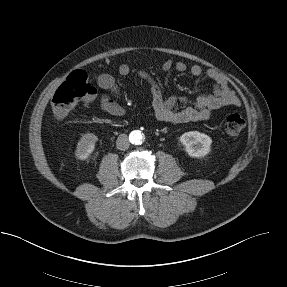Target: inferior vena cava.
<instances>
[{
	"mask_svg": "<svg viewBox=\"0 0 287 287\" xmlns=\"http://www.w3.org/2000/svg\"><path fill=\"white\" fill-rule=\"evenodd\" d=\"M129 140L126 134H121L116 140V146L119 150H127L129 148Z\"/></svg>",
	"mask_w": 287,
	"mask_h": 287,
	"instance_id": "inferior-vena-cava-1",
	"label": "inferior vena cava"
}]
</instances>
